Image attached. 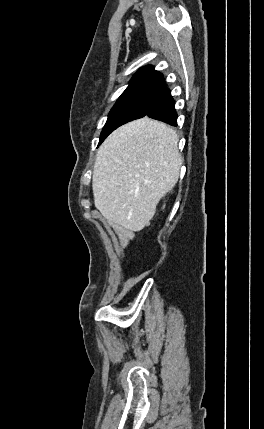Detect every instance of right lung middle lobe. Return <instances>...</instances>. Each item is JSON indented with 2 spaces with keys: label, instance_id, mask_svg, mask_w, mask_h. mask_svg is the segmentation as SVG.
I'll return each mask as SVG.
<instances>
[{
  "label": "right lung middle lobe",
  "instance_id": "dd1d6c3e",
  "mask_svg": "<svg viewBox=\"0 0 264 429\" xmlns=\"http://www.w3.org/2000/svg\"><path fill=\"white\" fill-rule=\"evenodd\" d=\"M161 88H137L125 90L111 109L101 132L99 145L117 127L144 117L162 93Z\"/></svg>",
  "mask_w": 264,
  "mask_h": 429
}]
</instances>
